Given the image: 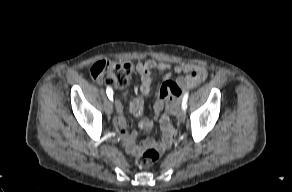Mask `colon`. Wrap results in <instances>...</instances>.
I'll return each mask as SVG.
<instances>
[{
  "mask_svg": "<svg viewBox=\"0 0 292 192\" xmlns=\"http://www.w3.org/2000/svg\"><path fill=\"white\" fill-rule=\"evenodd\" d=\"M132 70V65L128 62L100 60L91 66L90 75L94 80L100 83L109 84L116 89H123L129 84ZM159 157V149L148 147L136 158V165L139 168H148L153 165Z\"/></svg>",
  "mask_w": 292,
  "mask_h": 192,
  "instance_id": "1",
  "label": "colon"
}]
</instances>
